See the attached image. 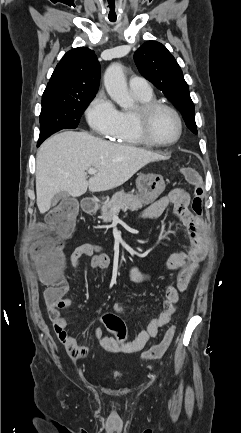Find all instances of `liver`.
<instances>
[{
    "instance_id": "1",
    "label": "liver",
    "mask_w": 241,
    "mask_h": 433,
    "mask_svg": "<svg viewBox=\"0 0 241 433\" xmlns=\"http://www.w3.org/2000/svg\"><path fill=\"white\" fill-rule=\"evenodd\" d=\"M164 157L145 149L115 144L87 132L66 131L48 138L36 156V195L41 214L51 207L52 198L65 191L72 197L87 189L101 192L128 181L150 162ZM97 170L89 180L86 171Z\"/></svg>"
}]
</instances>
